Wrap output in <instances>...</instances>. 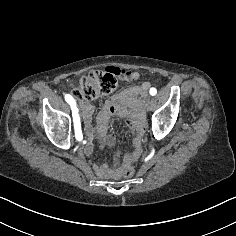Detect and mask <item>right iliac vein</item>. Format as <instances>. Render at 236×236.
Masks as SVG:
<instances>
[{
	"instance_id": "obj_1",
	"label": "right iliac vein",
	"mask_w": 236,
	"mask_h": 236,
	"mask_svg": "<svg viewBox=\"0 0 236 236\" xmlns=\"http://www.w3.org/2000/svg\"><path fill=\"white\" fill-rule=\"evenodd\" d=\"M78 112H79V115H80V118H81L80 120L82 121V120H83V119H82V118H83L82 112H81L80 110H79Z\"/></svg>"
}]
</instances>
